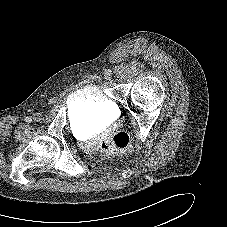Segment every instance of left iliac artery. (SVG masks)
I'll return each mask as SVG.
<instances>
[{
	"label": "left iliac artery",
	"instance_id": "44dca946",
	"mask_svg": "<svg viewBox=\"0 0 227 227\" xmlns=\"http://www.w3.org/2000/svg\"><path fill=\"white\" fill-rule=\"evenodd\" d=\"M105 74H106L107 76H111V75H112V71H111L110 69H108V70H106Z\"/></svg>",
	"mask_w": 227,
	"mask_h": 227
}]
</instances>
